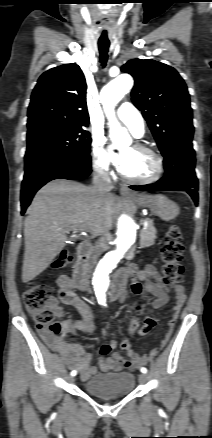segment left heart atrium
Returning a JSON list of instances; mask_svg holds the SVG:
<instances>
[{"mask_svg":"<svg viewBox=\"0 0 212 438\" xmlns=\"http://www.w3.org/2000/svg\"><path fill=\"white\" fill-rule=\"evenodd\" d=\"M126 160H127V157L125 154L121 153V154L114 155V163L119 168V170L123 169V167L126 164Z\"/></svg>","mask_w":212,"mask_h":438,"instance_id":"39dd6f15","label":"left heart atrium"}]
</instances>
